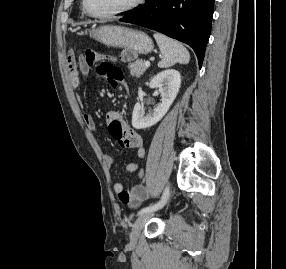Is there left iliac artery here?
<instances>
[{
    "label": "left iliac artery",
    "instance_id": "left-iliac-artery-1",
    "mask_svg": "<svg viewBox=\"0 0 286 269\" xmlns=\"http://www.w3.org/2000/svg\"><path fill=\"white\" fill-rule=\"evenodd\" d=\"M168 196H169V187L167 186L164 190V193L160 199L159 202H157L156 204H151L149 205L148 207H145V208H142L139 212H138V215L139 214H142V213H145V212H149V211H155V210H158L160 208H162L166 202H167V199H168Z\"/></svg>",
    "mask_w": 286,
    "mask_h": 269
}]
</instances>
